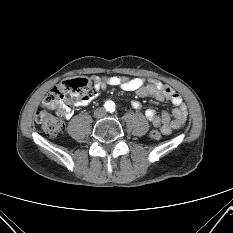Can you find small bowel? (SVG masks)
<instances>
[{"mask_svg":"<svg viewBox=\"0 0 233 233\" xmlns=\"http://www.w3.org/2000/svg\"><path fill=\"white\" fill-rule=\"evenodd\" d=\"M92 94L83 101L76 102L74 106L83 107L89 105L95 98H97L107 87H118L126 92H134L139 97H152L157 101L168 100L173 105L171 114L162 112L158 114L153 108L145 111L144 115L154 127L160 128L165 135H170L173 131L184 127L188 118L187 106L183 102L182 97L169 85L153 79L144 77H133L122 81L118 76H111L107 80L99 76L92 77ZM131 105L134 109H141L142 104L139 101H132ZM56 114L69 120L74 114V108L69 105L57 107Z\"/></svg>","mask_w":233,"mask_h":233,"instance_id":"obj_1","label":"small bowel"}]
</instances>
